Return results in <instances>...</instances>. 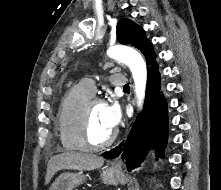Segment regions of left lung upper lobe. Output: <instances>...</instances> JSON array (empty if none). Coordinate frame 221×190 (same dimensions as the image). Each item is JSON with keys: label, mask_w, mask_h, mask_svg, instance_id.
Listing matches in <instances>:
<instances>
[{"label": "left lung upper lobe", "mask_w": 221, "mask_h": 190, "mask_svg": "<svg viewBox=\"0 0 221 190\" xmlns=\"http://www.w3.org/2000/svg\"><path fill=\"white\" fill-rule=\"evenodd\" d=\"M117 40L121 44L139 49L144 54L148 67L155 62L156 54L152 43L146 38L144 30L133 21L122 19L118 22Z\"/></svg>", "instance_id": "1"}]
</instances>
